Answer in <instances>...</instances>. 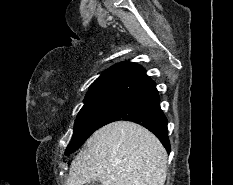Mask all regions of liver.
Segmentation results:
<instances>
[{"mask_svg": "<svg viewBox=\"0 0 233 185\" xmlns=\"http://www.w3.org/2000/svg\"><path fill=\"white\" fill-rule=\"evenodd\" d=\"M167 153L146 128L129 121L110 123L93 133L72 161L65 185H164Z\"/></svg>", "mask_w": 233, "mask_h": 185, "instance_id": "1", "label": "liver"}]
</instances>
